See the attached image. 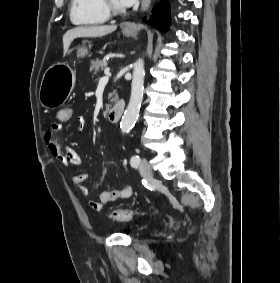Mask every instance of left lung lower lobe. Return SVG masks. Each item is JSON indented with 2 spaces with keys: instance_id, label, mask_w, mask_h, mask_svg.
<instances>
[{
  "instance_id": "0a47b994",
  "label": "left lung lower lobe",
  "mask_w": 280,
  "mask_h": 283,
  "mask_svg": "<svg viewBox=\"0 0 280 283\" xmlns=\"http://www.w3.org/2000/svg\"><path fill=\"white\" fill-rule=\"evenodd\" d=\"M143 21L147 24H150L152 27L166 33L168 24L170 22V12L169 5L166 1L162 2L152 11V15L149 20L146 18Z\"/></svg>"
}]
</instances>
